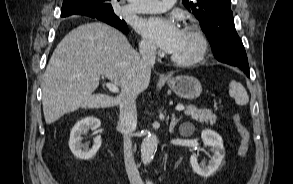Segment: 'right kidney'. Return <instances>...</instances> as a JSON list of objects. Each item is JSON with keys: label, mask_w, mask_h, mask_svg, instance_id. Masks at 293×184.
Returning <instances> with one entry per match:
<instances>
[{"label": "right kidney", "mask_w": 293, "mask_h": 184, "mask_svg": "<svg viewBox=\"0 0 293 184\" xmlns=\"http://www.w3.org/2000/svg\"><path fill=\"white\" fill-rule=\"evenodd\" d=\"M101 125L99 119L95 117H86L78 121L71 130L69 147L73 155L80 160H89L95 156L101 146V136L94 139V145L91 149L82 144V135L89 129L96 130Z\"/></svg>", "instance_id": "ca27d5eb"}]
</instances>
